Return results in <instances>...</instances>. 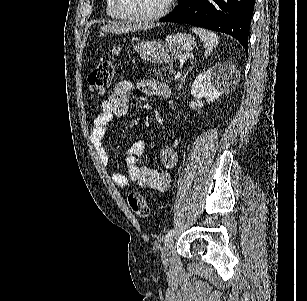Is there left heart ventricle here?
<instances>
[{
	"instance_id": "obj_1",
	"label": "left heart ventricle",
	"mask_w": 307,
	"mask_h": 301,
	"mask_svg": "<svg viewBox=\"0 0 307 301\" xmlns=\"http://www.w3.org/2000/svg\"><path fill=\"white\" fill-rule=\"evenodd\" d=\"M122 13H150L160 11L166 0H120Z\"/></svg>"
}]
</instances>
